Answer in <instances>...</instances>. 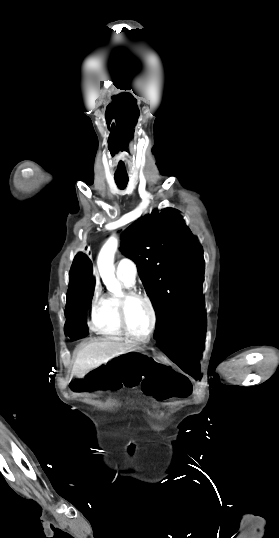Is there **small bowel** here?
Listing matches in <instances>:
<instances>
[{
	"label": "small bowel",
	"mask_w": 279,
	"mask_h": 538,
	"mask_svg": "<svg viewBox=\"0 0 279 538\" xmlns=\"http://www.w3.org/2000/svg\"><path fill=\"white\" fill-rule=\"evenodd\" d=\"M141 388L159 402L183 400L191 394L188 378L171 369H158L144 375Z\"/></svg>",
	"instance_id": "obj_1"
}]
</instances>
